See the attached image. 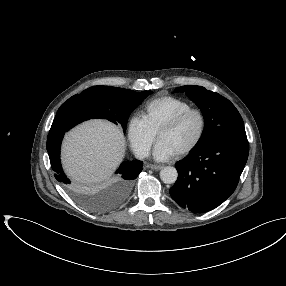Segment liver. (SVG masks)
Wrapping results in <instances>:
<instances>
[{
	"label": "liver",
	"instance_id": "1",
	"mask_svg": "<svg viewBox=\"0 0 286 286\" xmlns=\"http://www.w3.org/2000/svg\"><path fill=\"white\" fill-rule=\"evenodd\" d=\"M125 139L118 126L91 120L72 129L62 144V164L75 181H102L115 171L125 155Z\"/></svg>",
	"mask_w": 286,
	"mask_h": 286
}]
</instances>
